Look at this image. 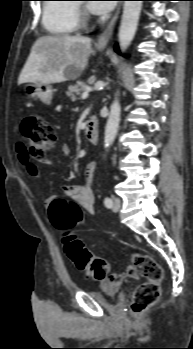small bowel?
Masks as SVG:
<instances>
[{
	"label": "small bowel",
	"instance_id": "1",
	"mask_svg": "<svg viewBox=\"0 0 193 349\" xmlns=\"http://www.w3.org/2000/svg\"><path fill=\"white\" fill-rule=\"evenodd\" d=\"M61 152L64 156L70 155V147L67 144H62ZM18 159L20 163L27 169V171L38 176L37 168L33 165L30 158L25 154L22 144L17 146ZM95 172V163L91 162L87 164L84 171L85 184L81 186H63L61 195H49L44 200L45 206L49 207L50 204L58 198H71L77 202L86 213L94 214V193L92 189V180ZM137 272L133 265H128L124 271L113 273L107 278L101 281V286L107 291H115L119 286L128 278H136Z\"/></svg>",
	"mask_w": 193,
	"mask_h": 349
}]
</instances>
